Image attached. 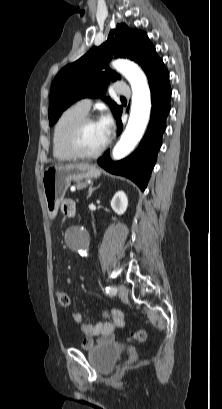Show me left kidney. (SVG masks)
<instances>
[{
    "instance_id": "1",
    "label": "left kidney",
    "mask_w": 222,
    "mask_h": 409,
    "mask_svg": "<svg viewBox=\"0 0 222 409\" xmlns=\"http://www.w3.org/2000/svg\"><path fill=\"white\" fill-rule=\"evenodd\" d=\"M111 207L115 213L122 215L128 207V199L123 191H118L111 200Z\"/></svg>"
}]
</instances>
